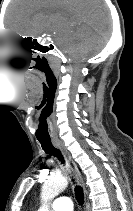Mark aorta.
Wrapping results in <instances>:
<instances>
[{
	"label": "aorta",
	"mask_w": 133,
	"mask_h": 211,
	"mask_svg": "<svg viewBox=\"0 0 133 211\" xmlns=\"http://www.w3.org/2000/svg\"><path fill=\"white\" fill-rule=\"evenodd\" d=\"M68 185V181L65 177L58 175L52 176L46 180L41 189V202L43 208H47L48 203L56 197L61 191H63ZM48 211V210H42Z\"/></svg>",
	"instance_id": "762f6f07"
}]
</instances>
